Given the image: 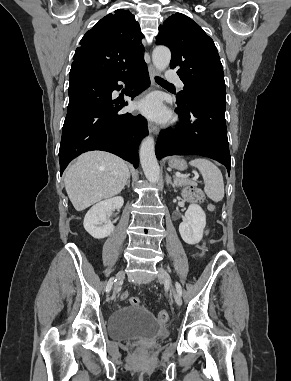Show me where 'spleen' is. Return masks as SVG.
Wrapping results in <instances>:
<instances>
[{
    "instance_id": "3e777b00",
    "label": "spleen",
    "mask_w": 291,
    "mask_h": 381,
    "mask_svg": "<svg viewBox=\"0 0 291 381\" xmlns=\"http://www.w3.org/2000/svg\"><path fill=\"white\" fill-rule=\"evenodd\" d=\"M190 165L196 167L205 182L204 192L214 202L222 201L224 197L223 176L219 168L204 158H196L190 161Z\"/></svg>"
}]
</instances>
